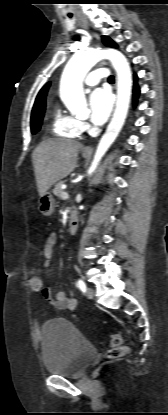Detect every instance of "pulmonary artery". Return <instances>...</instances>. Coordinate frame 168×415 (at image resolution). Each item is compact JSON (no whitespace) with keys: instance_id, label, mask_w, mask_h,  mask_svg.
<instances>
[{"instance_id":"pulmonary-artery-1","label":"pulmonary artery","mask_w":168,"mask_h":415,"mask_svg":"<svg viewBox=\"0 0 168 415\" xmlns=\"http://www.w3.org/2000/svg\"><path fill=\"white\" fill-rule=\"evenodd\" d=\"M107 75L108 73L105 68L96 69L87 75L85 78V84L88 86H94L98 84L101 79L106 78Z\"/></svg>"}]
</instances>
